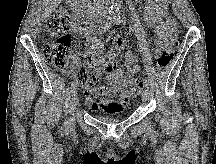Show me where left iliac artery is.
<instances>
[{
  "mask_svg": "<svg viewBox=\"0 0 216 164\" xmlns=\"http://www.w3.org/2000/svg\"><path fill=\"white\" fill-rule=\"evenodd\" d=\"M115 23L121 24V23H123V19L119 16V17L115 18ZM145 86H146L147 88H149V87H148V86H149V81H148L147 79H145Z\"/></svg>",
  "mask_w": 216,
  "mask_h": 164,
  "instance_id": "obj_1",
  "label": "left iliac artery"
}]
</instances>
